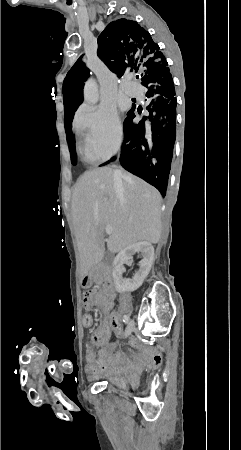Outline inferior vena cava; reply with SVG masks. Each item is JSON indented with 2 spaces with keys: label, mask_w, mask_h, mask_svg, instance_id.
Wrapping results in <instances>:
<instances>
[{
  "label": "inferior vena cava",
  "mask_w": 241,
  "mask_h": 450,
  "mask_svg": "<svg viewBox=\"0 0 241 450\" xmlns=\"http://www.w3.org/2000/svg\"><path fill=\"white\" fill-rule=\"evenodd\" d=\"M113 182H114V188H116V190H123L121 170H114Z\"/></svg>",
  "instance_id": "inferior-vena-cava-1"
}]
</instances>
